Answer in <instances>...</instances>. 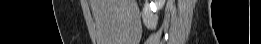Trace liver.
I'll return each instance as SVG.
<instances>
[{"label": "liver", "instance_id": "liver-1", "mask_svg": "<svg viewBox=\"0 0 261 44\" xmlns=\"http://www.w3.org/2000/svg\"><path fill=\"white\" fill-rule=\"evenodd\" d=\"M97 29V44H135L133 24L138 16L135 0H90Z\"/></svg>", "mask_w": 261, "mask_h": 44}]
</instances>
